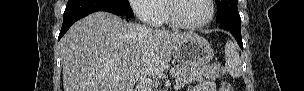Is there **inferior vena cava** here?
I'll use <instances>...</instances> for the list:
<instances>
[{
	"mask_svg": "<svg viewBox=\"0 0 304 91\" xmlns=\"http://www.w3.org/2000/svg\"><path fill=\"white\" fill-rule=\"evenodd\" d=\"M136 91H151V87L146 80H138Z\"/></svg>",
	"mask_w": 304,
	"mask_h": 91,
	"instance_id": "inferior-vena-cava-1",
	"label": "inferior vena cava"
}]
</instances>
